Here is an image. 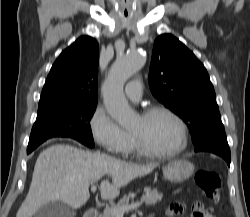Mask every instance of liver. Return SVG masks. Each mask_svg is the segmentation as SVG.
Returning <instances> with one entry per match:
<instances>
[{
  "label": "liver",
  "instance_id": "6515ba94",
  "mask_svg": "<svg viewBox=\"0 0 250 217\" xmlns=\"http://www.w3.org/2000/svg\"><path fill=\"white\" fill-rule=\"evenodd\" d=\"M154 168V165L128 163L70 145L50 146L37 158L29 192L16 217H32L42 206L57 201L73 209L81 208L90 197L89 186L104 175H110L111 181L101 182V198L114 199L121 187Z\"/></svg>",
  "mask_w": 250,
  "mask_h": 217
}]
</instances>
